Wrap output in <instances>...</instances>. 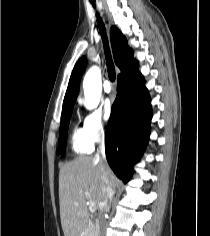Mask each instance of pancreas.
Returning <instances> with one entry per match:
<instances>
[{
  "label": "pancreas",
  "instance_id": "1",
  "mask_svg": "<svg viewBox=\"0 0 210 236\" xmlns=\"http://www.w3.org/2000/svg\"><path fill=\"white\" fill-rule=\"evenodd\" d=\"M98 228L96 221H89L84 230L83 236H97Z\"/></svg>",
  "mask_w": 210,
  "mask_h": 236
}]
</instances>
